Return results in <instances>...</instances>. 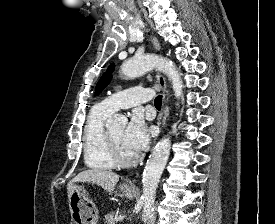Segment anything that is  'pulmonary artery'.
<instances>
[{"instance_id": "e3ab8cb5", "label": "pulmonary artery", "mask_w": 275, "mask_h": 224, "mask_svg": "<svg viewBox=\"0 0 275 224\" xmlns=\"http://www.w3.org/2000/svg\"><path fill=\"white\" fill-rule=\"evenodd\" d=\"M153 91L144 87H131L114 93L101 101L100 106L107 112H114L119 108H130L150 101Z\"/></svg>"}]
</instances>
